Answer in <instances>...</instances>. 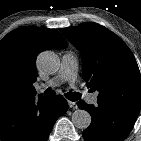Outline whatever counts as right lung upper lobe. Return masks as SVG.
Wrapping results in <instances>:
<instances>
[{"mask_svg": "<svg viewBox=\"0 0 141 141\" xmlns=\"http://www.w3.org/2000/svg\"><path fill=\"white\" fill-rule=\"evenodd\" d=\"M67 46L66 40L54 29L22 27L7 34L0 41V110L35 98L37 55Z\"/></svg>", "mask_w": 141, "mask_h": 141, "instance_id": "right-lung-upper-lobe-1", "label": "right lung upper lobe"}]
</instances>
